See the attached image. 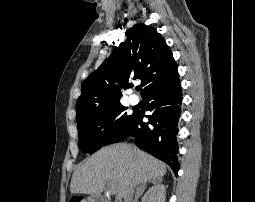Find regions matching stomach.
Returning <instances> with one entry per match:
<instances>
[{"instance_id":"0dacf381","label":"stomach","mask_w":255,"mask_h":202,"mask_svg":"<svg viewBox=\"0 0 255 202\" xmlns=\"http://www.w3.org/2000/svg\"><path fill=\"white\" fill-rule=\"evenodd\" d=\"M85 202H92L90 199H88L87 201H85Z\"/></svg>"}]
</instances>
